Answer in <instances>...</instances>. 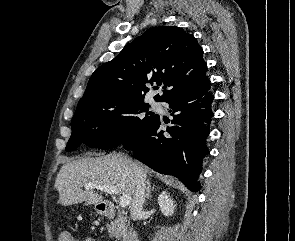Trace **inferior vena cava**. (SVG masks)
I'll use <instances>...</instances> for the list:
<instances>
[{
    "label": "inferior vena cava",
    "instance_id": "602c4592",
    "mask_svg": "<svg viewBox=\"0 0 295 241\" xmlns=\"http://www.w3.org/2000/svg\"><path fill=\"white\" fill-rule=\"evenodd\" d=\"M133 172L135 192L133 195V202L131 205V216L133 220H137L141 217L143 212L146 191V174L142 169H140L137 166H133Z\"/></svg>",
    "mask_w": 295,
    "mask_h": 241
}]
</instances>
